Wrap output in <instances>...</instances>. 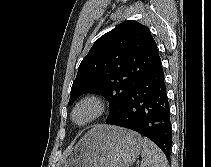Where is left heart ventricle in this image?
Returning a JSON list of instances; mask_svg holds the SVG:
<instances>
[{
	"instance_id": "left-heart-ventricle-1",
	"label": "left heart ventricle",
	"mask_w": 211,
	"mask_h": 167,
	"mask_svg": "<svg viewBox=\"0 0 211 167\" xmlns=\"http://www.w3.org/2000/svg\"><path fill=\"white\" fill-rule=\"evenodd\" d=\"M92 113V110L89 107L80 108L75 115V118L78 122L85 121Z\"/></svg>"
}]
</instances>
